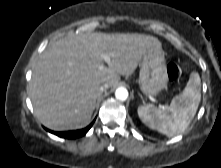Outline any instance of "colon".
<instances>
[{"instance_id":"5ec220e1","label":"colon","mask_w":221,"mask_h":168,"mask_svg":"<svg viewBox=\"0 0 221 168\" xmlns=\"http://www.w3.org/2000/svg\"><path fill=\"white\" fill-rule=\"evenodd\" d=\"M167 77L170 81H174L180 75V68L178 65L174 63H170L167 65L166 69Z\"/></svg>"}]
</instances>
